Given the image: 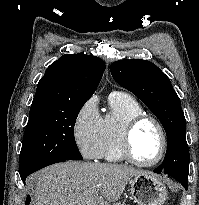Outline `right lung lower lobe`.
<instances>
[{
	"label": "right lung lower lobe",
	"mask_w": 199,
	"mask_h": 205,
	"mask_svg": "<svg viewBox=\"0 0 199 205\" xmlns=\"http://www.w3.org/2000/svg\"><path fill=\"white\" fill-rule=\"evenodd\" d=\"M63 161H65V160L59 159V160L49 161V162H47V163H45V164H43V165H41V166H39V167H37V168H35V169H33V170H31V171H29V172L23 174V175H20V176H21V179H22V181L25 183V180H26L27 176L30 175L31 173H33V172H35V171H37V170H39V169H42V168H44V167H46V166H48V165H51V164H54V163H58V162H63Z\"/></svg>",
	"instance_id": "1"
}]
</instances>
